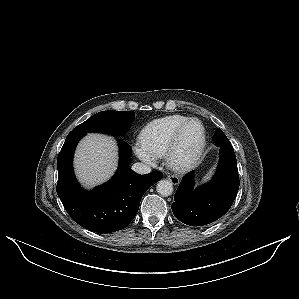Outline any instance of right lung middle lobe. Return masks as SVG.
Segmentation results:
<instances>
[{"mask_svg": "<svg viewBox=\"0 0 299 299\" xmlns=\"http://www.w3.org/2000/svg\"><path fill=\"white\" fill-rule=\"evenodd\" d=\"M134 112L102 111L75 127L71 132H99L111 135L123 134L134 121Z\"/></svg>", "mask_w": 299, "mask_h": 299, "instance_id": "dd1d6c3e", "label": "right lung middle lobe"}]
</instances>
